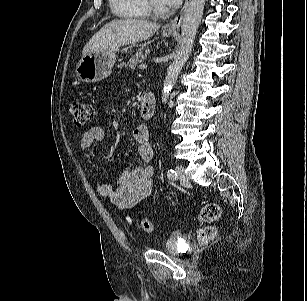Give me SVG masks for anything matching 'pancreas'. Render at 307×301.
Segmentation results:
<instances>
[{
    "label": "pancreas",
    "mask_w": 307,
    "mask_h": 301,
    "mask_svg": "<svg viewBox=\"0 0 307 301\" xmlns=\"http://www.w3.org/2000/svg\"><path fill=\"white\" fill-rule=\"evenodd\" d=\"M145 60L146 55L142 51H139L127 63H123L121 64V66H125L126 68H129L130 70L134 71L137 65Z\"/></svg>",
    "instance_id": "pancreas-1"
}]
</instances>
